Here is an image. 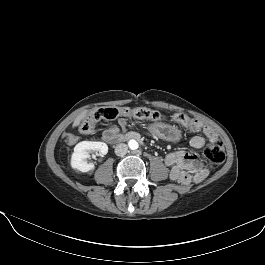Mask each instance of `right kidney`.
<instances>
[{"instance_id":"ca27d5eb","label":"right kidney","mask_w":265,"mask_h":265,"mask_svg":"<svg viewBox=\"0 0 265 265\" xmlns=\"http://www.w3.org/2000/svg\"><path fill=\"white\" fill-rule=\"evenodd\" d=\"M91 151H98L102 155L108 152V146L103 142L83 141L74 147V153L71 156V167L77 172H91L95 169L94 164H88L86 159L90 157Z\"/></svg>"}]
</instances>
